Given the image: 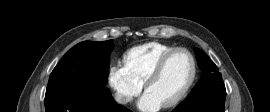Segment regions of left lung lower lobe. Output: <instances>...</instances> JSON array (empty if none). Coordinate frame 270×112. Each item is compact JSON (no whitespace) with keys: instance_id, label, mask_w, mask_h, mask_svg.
<instances>
[{"instance_id":"obj_1","label":"left lung lower lobe","mask_w":270,"mask_h":112,"mask_svg":"<svg viewBox=\"0 0 270 112\" xmlns=\"http://www.w3.org/2000/svg\"><path fill=\"white\" fill-rule=\"evenodd\" d=\"M226 89L215 84L194 99L185 100L172 112H224Z\"/></svg>"}]
</instances>
